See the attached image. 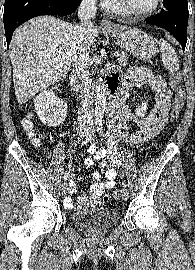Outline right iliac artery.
Wrapping results in <instances>:
<instances>
[{"instance_id": "obj_1", "label": "right iliac artery", "mask_w": 195, "mask_h": 270, "mask_svg": "<svg viewBox=\"0 0 195 270\" xmlns=\"http://www.w3.org/2000/svg\"><path fill=\"white\" fill-rule=\"evenodd\" d=\"M96 131V126L93 125L90 129V131L87 133L86 139L82 142L81 146L86 145L89 141H91L92 137L94 136V132ZM69 172H66L64 175V180L66 181L68 179Z\"/></svg>"}]
</instances>
